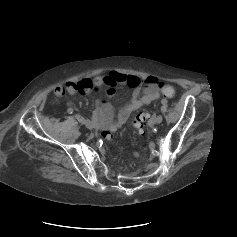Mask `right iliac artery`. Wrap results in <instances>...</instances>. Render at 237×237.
Wrapping results in <instances>:
<instances>
[{"mask_svg": "<svg viewBox=\"0 0 237 237\" xmlns=\"http://www.w3.org/2000/svg\"><path fill=\"white\" fill-rule=\"evenodd\" d=\"M73 111H74V110H73L72 108H68V109H67V112H68L69 114H72Z\"/></svg>", "mask_w": 237, "mask_h": 237, "instance_id": "right-iliac-artery-1", "label": "right iliac artery"}]
</instances>
